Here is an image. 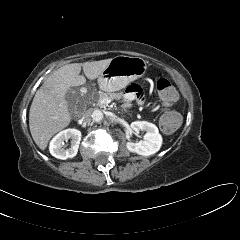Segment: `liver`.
I'll return each mask as SVG.
<instances>
[{"instance_id": "6515ba94", "label": "liver", "mask_w": 240, "mask_h": 240, "mask_svg": "<svg viewBox=\"0 0 240 240\" xmlns=\"http://www.w3.org/2000/svg\"><path fill=\"white\" fill-rule=\"evenodd\" d=\"M112 59L72 63L54 71L36 92L29 112V128L36 145L45 150L53 135L71 122L66 93L70 87L85 84L81 68L89 80L98 78Z\"/></svg>"}]
</instances>
